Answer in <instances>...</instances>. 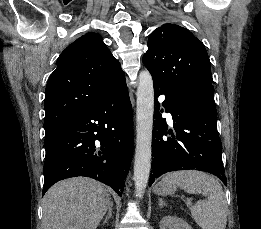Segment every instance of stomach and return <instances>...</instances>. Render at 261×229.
Returning <instances> with one entry per match:
<instances>
[{
  "label": "stomach",
  "instance_id": "stomach-1",
  "mask_svg": "<svg viewBox=\"0 0 261 229\" xmlns=\"http://www.w3.org/2000/svg\"><path fill=\"white\" fill-rule=\"evenodd\" d=\"M176 191V185L175 183H171V181H160L156 187H154V193L156 195H163V197H166V195H174Z\"/></svg>",
  "mask_w": 261,
  "mask_h": 229
}]
</instances>
